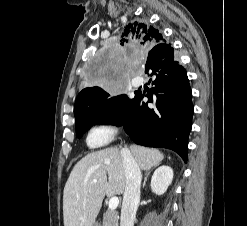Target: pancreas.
Listing matches in <instances>:
<instances>
[{
    "label": "pancreas",
    "instance_id": "pancreas-1",
    "mask_svg": "<svg viewBox=\"0 0 247 226\" xmlns=\"http://www.w3.org/2000/svg\"><path fill=\"white\" fill-rule=\"evenodd\" d=\"M119 216L117 212L106 211L103 215V225L102 226H118Z\"/></svg>",
    "mask_w": 247,
    "mask_h": 226
}]
</instances>
